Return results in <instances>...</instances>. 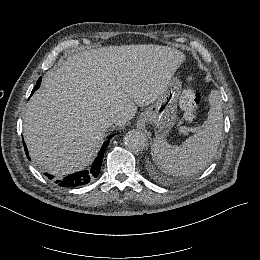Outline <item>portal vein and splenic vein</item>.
I'll return each instance as SVG.
<instances>
[{
  "mask_svg": "<svg viewBox=\"0 0 260 260\" xmlns=\"http://www.w3.org/2000/svg\"><path fill=\"white\" fill-rule=\"evenodd\" d=\"M186 131H187V127L186 126H181L180 127V132L181 133H186Z\"/></svg>",
  "mask_w": 260,
  "mask_h": 260,
  "instance_id": "obj_1",
  "label": "portal vein and splenic vein"
}]
</instances>
